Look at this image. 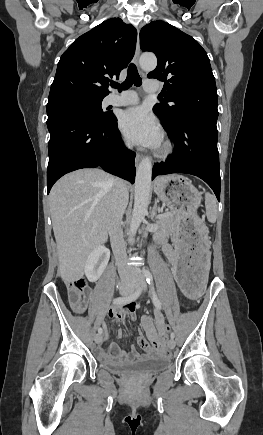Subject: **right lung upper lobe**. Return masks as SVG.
<instances>
[{"instance_id": "cb5924a9", "label": "right lung upper lobe", "mask_w": 263, "mask_h": 435, "mask_svg": "<svg viewBox=\"0 0 263 435\" xmlns=\"http://www.w3.org/2000/svg\"><path fill=\"white\" fill-rule=\"evenodd\" d=\"M137 31L109 19L77 38L61 56L48 104L103 99L110 78L118 79L135 53Z\"/></svg>"}]
</instances>
